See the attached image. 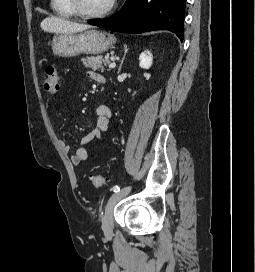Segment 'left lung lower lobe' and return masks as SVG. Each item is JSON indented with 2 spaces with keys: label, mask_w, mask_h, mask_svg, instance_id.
Returning a JSON list of instances; mask_svg holds the SVG:
<instances>
[{
  "label": "left lung lower lobe",
  "mask_w": 255,
  "mask_h": 272,
  "mask_svg": "<svg viewBox=\"0 0 255 272\" xmlns=\"http://www.w3.org/2000/svg\"><path fill=\"white\" fill-rule=\"evenodd\" d=\"M185 4L186 0H127L113 16L88 23L131 34L169 30L183 41Z\"/></svg>",
  "instance_id": "0a47b994"
}]
</instances>
